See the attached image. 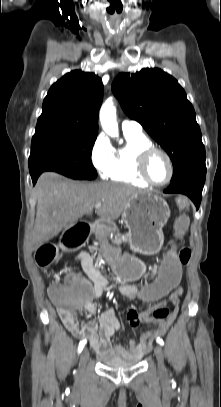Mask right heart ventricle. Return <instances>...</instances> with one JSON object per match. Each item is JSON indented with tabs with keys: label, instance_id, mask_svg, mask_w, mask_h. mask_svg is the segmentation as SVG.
Here are the masks:
<instances>
[{
	"label": "right heart ventricle",
	"instance_id": "obj_1",
	"mask_svg": "<svg viewBox=\"0 0 221 407\" xmlns=\"http://www.w3.org/2000/svg\"><path fill=\"white\" fill-rule=\"evenodd\" d=\"M126 143L114 150L112 169L109 178L116 182L128 183L138 187H147L138 174L137 157L152 142L143 133L124 132Z\"/></svg>",
	"mask_w": 221,
	"mask_h": 407
}]
</instances>
